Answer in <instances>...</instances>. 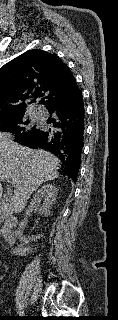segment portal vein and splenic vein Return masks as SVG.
<instances>
[{"label": "portal vein and splenic vein", "instance_id": "obj_1", "mask_svg": "<svg viewBox=\"0 0 118 320\" xmlns=\"http://www.w3.org/2000/svg\"><path fill=\"white\" fill-rule=\"evenodd\" d=\"M3 180H6L8 183L14 184V182L11 180H8V179H3Z\"/></svg>", "mask_w": 118, "mask_h": 320}]
</instances>
